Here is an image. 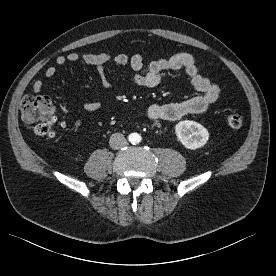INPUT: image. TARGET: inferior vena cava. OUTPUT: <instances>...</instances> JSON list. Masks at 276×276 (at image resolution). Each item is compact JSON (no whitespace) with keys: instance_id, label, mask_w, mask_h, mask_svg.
Here are the masks:
<instances>
[{"instance_id":"1","label":"inferior vena cava","mask_w":276,"mask_h":276,"mask_svg":"<svg viewBox=\"0 0 276 276\" xmlns=\"http://www.w3.org/2000/svg\"><path fill=\"white\" fill-rule=\"evenodd\" d=\"M109 144L112 149L117 150L124 147L127 144V140L121 133H114L109 139Z\"/></svg>"}]
</instances>
